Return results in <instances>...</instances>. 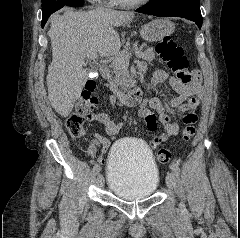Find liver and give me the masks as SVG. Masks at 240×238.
I'll return each instance as SVG.
<instances>
[{
    "mask_svg": "<svg viewBox=\"0 0 240 238\" xmlns=\"http://www.w3.org/2000/svg\"><path fill=\"white\" fill-rule=\"evenodd\" d=\"M133 12L104 9L74 12L50 17L48 36L52 46V62L48 67V99L55 111L66 118L80 97L86 78L85 59L88 51L100 55L116 54L120 37L116 27L128 25Z\"/></svg>",
    "mask_w": 240,
    "mask_h": 238,
    "instance_id": "obj_1",
    "label": "liver"
}]
</instances>
